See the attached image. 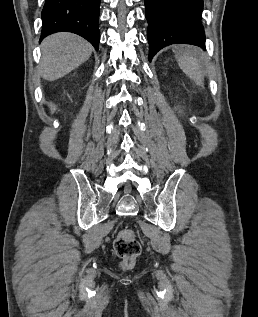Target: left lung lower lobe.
Segmentation results:
<instances>
[{
	"label": "left lung lower lobe",
	"mask_w": 258,
	"mask_h": 317,
	"mask_svg": "<svg viewBox=\"0 0 258 317\" xmlns=\"http://www.w3.org/2000/svg\"><path fill=\"white\" fill-rule=\"evenodd\" d=\"M148 21L149 61L171 44H191L205 49L201 23L203 0H144Z\"/></svg>",
	"instance_id": "obj_1"
}]
</instances>
